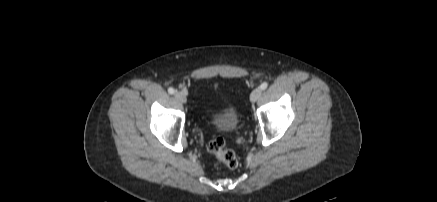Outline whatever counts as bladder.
<instances>
[{"mask_svg":"<svg viewBox=\"0 0 437 202\" xmlns=\"http://www.w3.org/2000/svg\"><path fill=\"white\" fill-rule=\"evenodd\" d=\"M239 123V114L233 107H228L213 117L215 128L223 133L236 131Z\"/></svg>","mask_w":437,"mask_h":202,"instance_id":"bladder-1","label":"bladder"}]
</instances>
